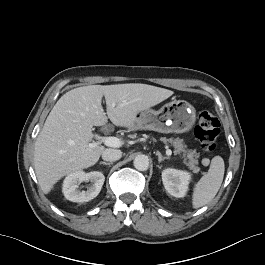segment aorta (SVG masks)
<instances>
[{
    "instance_id": "1",
    "label": "aorta",
    "mask_w": 265,
    "mask_h": 265,
    "mask_svg": "<svg viewBox=\"0 0 265 265\" xmlns=\"http://www.w3.org/2000/svg\"><path fill=\"white\" fill-rule=\"evenodd\" d=\"M134 167L139 171H146L149 167V158L146 155H137L133 161Z\"/></svg>"
}]
</instances>
